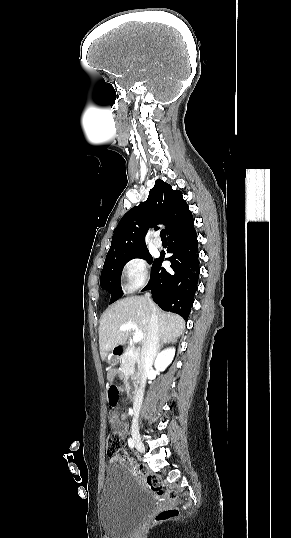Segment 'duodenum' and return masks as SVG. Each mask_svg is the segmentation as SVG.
<instances>
[{
  "mask_svg": "<svg viewBox=\"0 0 291 538\" xmlns=\"http://www.w3.org/2000/svg\"><path fill=\"white\" fill-rule=\"evenodd\" d=\"M127 351V348L124 347V346H119V347H116L113 351V355L115 357H120L122 356L125 352ZM131 352L135 355H138L139 354V350L137 348H132L131 349ZM124 381H125V387H126V394L131 397V398H134L138 395V391H139V383L137 380H135V378L133 377V374L131 372H127L125 374V378H124Z\"/></svg>",
  "mask_w": 291,
  "mask_h": 538,
  "instance_id": "obj_1",
  "label": "duodenum"
}]
</instances>
